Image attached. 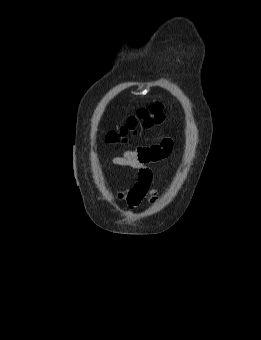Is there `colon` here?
<instances>
[{
  "label": "colon",
  "mask_w": 261,
  "mask_h": 340,
  "mask_svg": "<svg viewBox=\"0 0 261 340\" xmlns=\"http://www.w3.org/2000/svg\"><path fill=\"white\" fill-rule=\"evenodd\" d=\"M164 117L163 106L160 103H156L149 108L138 109L134 115L127 119L125 125L107 135V141L115 142L120 138L125 140L128 134L136 132L139 125L150 128L154 124H160Z\"/></svg>",
  "instance_id": "5ec220e1"
}]
</instances>
